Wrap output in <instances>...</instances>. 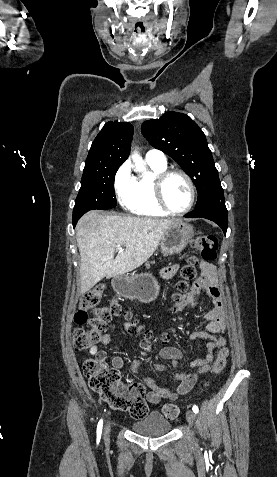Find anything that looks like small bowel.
I'll use <instances>...</instances> for the list:
<instances>
[{
  "mask_svg": "<svg viewBox=\"0 0 277 477\" xmlns=\"http://www.w3.org/2000/svg\"><path fill=\"white\" fill-rule=\"evenodd\" d=\"M199 268L201 271V278L197 284H195L191 292L186 298L177 303L176 307L179 310L194 307L198 304L200 292L210 298L212 301V308L204 315V321L206 323L205 330L195 331L190 334L189 339L191 341L197 339L208 340L206 343V355L202 359H196L190 362V367L195 369L189 372H178L176 368H173V376L179 381L174 390L168 388H162L157 386L155 381L148 377L143 376V382L150 388L147 394V400L152 404L159 403L162 399L175 400L178 397L189 392L196 384L198 375L211 371L212 362L214 359V351L222 348L226 344V339L222 335L226 330V315L223 298L219 290V274L216 267L206 260L199 262ZM179 265H172L162 269L161 277L164 280L172 278L178 271ZM123 327L130 334L137 335L138 331L134 329L132 323H124ZM115 325H111L109 331L102 336L101 343L103 345H109L111 342V332L114 331ZM140 347L146 352L151 351V344L147 338L140 340ZM113 350L116 352L119 350L118 346H114ZM89 353L95 357H104L105 352L99 350L97 346H92L89 349ZM159 357L161 359L170 360L173 364H176L183 358V352L176 347H164L159 351ZM112 367L116 371H120L124 366V360L119 355H114L111 360ZM141 360L136 359L131 364V369L134 373H138ZM155 368L159 371L166 370V367L162 364H156Z\"/></svg>",
  "mask_w": 277,
  "mask_h": 477,
  "instance_id": "small-bowel-1",
  "label": "small bowel"
}]
</instances>
